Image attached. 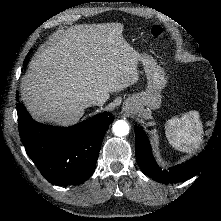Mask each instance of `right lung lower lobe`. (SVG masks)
Here are the masks:
<instances>
[{
    "mask_svg": "<svg viewBox=\"0 0 221 221\" xmlns=\"http://www.w3.org/2000/svg\"><path fill=\"white\" fill-rule=\"evenodd\" d=\"M16 105L21 141L47 181L76 185L93 174L112 114L104 112L72 127H54L37 123L21 103Z\"/></svg>",
    "mask_w": 221,
    "mask_h": 221,
    "instance_id": "right-lung-lower-lobe-1",
    "label": "right lung lower lobe"
}]
</instances>
